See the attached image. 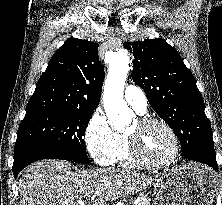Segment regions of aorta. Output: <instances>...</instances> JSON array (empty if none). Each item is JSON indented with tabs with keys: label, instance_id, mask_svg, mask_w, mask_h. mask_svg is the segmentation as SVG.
Masks as SVG:
<instances>
[{
	"label": "aorta",
	"instance_id": "1",
	"mask_svg": "<svg viewBox=\"0 0 222 205\" xmlns=\"http://www.w3.org/2000/svg\"><path fill=\"white\" fill-rule=\"evenodd\" d=\"M129 56L124 52L113 55L104 85L103 103L106 115L112 127L124 131L134 113L123 100L125 81L129 71Z\"/></svg>",
	"mask_w": 222,
	"mask_h": 205
}]
</instances>
